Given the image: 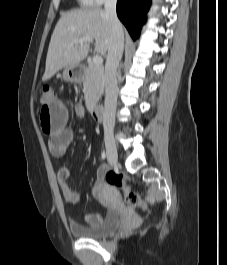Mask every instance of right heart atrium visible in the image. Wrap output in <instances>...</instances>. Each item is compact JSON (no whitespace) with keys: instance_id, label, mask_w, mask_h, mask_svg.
Wrapping results in <instances>:
<instances>
[{"instance_id":"d8ad5b80","label":"right heart atrium","mask_w":227,"mask_h":265,"mask_svg":"<svg viewBox=\"0 0 227 265\" xmlns=\"http://www.w3.org/2000/svg\"><path fill=\"white\" fill-rule=\"evenodd\" d=\"M91 5H102L103 3L111 0H86Z\"/></svg>"}]
</instances>
